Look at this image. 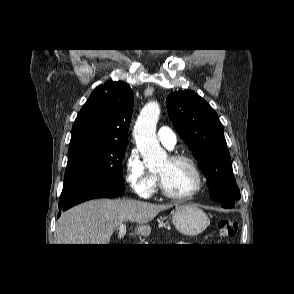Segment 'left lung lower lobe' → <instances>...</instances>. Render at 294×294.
Here are the masks:
<instances>
[{"label": "left lung lower lobe", "mask_w": 294, "mask_h": 294, "mask_svg": "<svg viewBox=\"0 0 294 294\" xmlns=\"http://www.w3.org/2000/svg\"><path fill=\"white\" fill-rule=\"evenodd\" d=\"M213 200L223 203L222 205L223 208H232L235 205V201H236L234 199H225V198H215Z\"/></svg>", "instance_id": "obj_1"}]
</instances>
